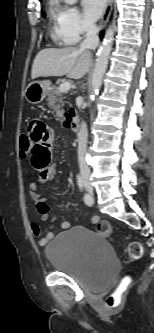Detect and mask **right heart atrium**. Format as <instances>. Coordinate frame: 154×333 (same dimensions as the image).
<instances>
[{
	"label": "right heart atrium",
	"mask_w": 154,
	"mask_h": 333,
	"mask_svg": "<svg viewBox=\"0 0 154 333\" xmlns=\"http://www.w3.org/2000/svg\"><path fill=\"white\" fill-rule=\"evenodd\" d=\"M60 25L67 44H75L95 30V26L75 6L61 7Z\"/></svg>",
	"instance_id": "obj_1"
}]
</instances>
